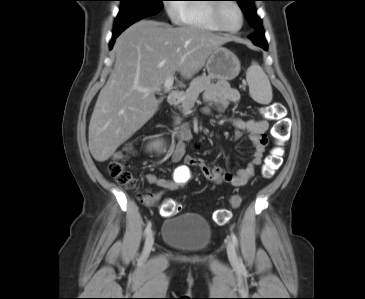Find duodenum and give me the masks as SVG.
Here are the masks:
<instances>
[{
    "instance_id": "duodenum-1",
    "label": "duodenum",
    "mask_w": 365,
    "mask_h": 299,
    "mask_svg": "<svg viewBox=\"0 0 365 299\" xmlns=\"http://www.w3.org/2000/svg\"><path fill=\"white\" fill-rule=\"evenodd\" d=\"M184 96L183 90H176L168 96V102L170 105H178Z\"/></svg>"
}]
</instances>
